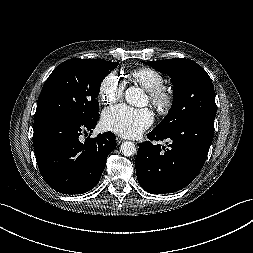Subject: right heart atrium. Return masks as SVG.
<instances>
[{
    "label": "right heart atrium",
    "mask_w": 253,
    "mask_h": 253,
    "mask_svg": "<svg viewBox=\"0 0 253 253\" xmlns=\"http://www.w3.org/2000/svg\"><path fill=\"white\" fill-rule=\"evenodd\" d=\"M125 82L116 72L104 77L99 86V99L103 104H113L119 101L124 92Z\"/></svg>",
    "instance_id": "obj_1"
}]
</instances>
